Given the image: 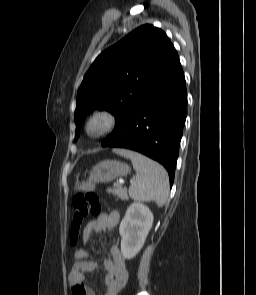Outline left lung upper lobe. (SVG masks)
I'll return each instance as SVG.
<instances>
[{"mask_svg": "<svg viewBox=\"0 0 256 295\" xmlns=\"http://www.w3.org/2000/svg\"><path fill=\"white\" fill-rule=\"evenodd\" d=\"M179 65L177 51L161 29L152 25L135 29L104 50L85 74L77 93L76 133L95 109L116 117L115 131Z\"/></svg>", "mask_w": 256, "mask_h": 295, "instance_id": "1", "label": "left lung upper lobe"}]
</instances>
